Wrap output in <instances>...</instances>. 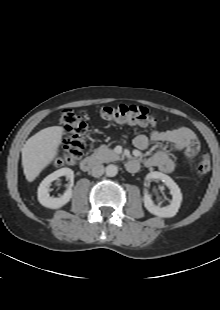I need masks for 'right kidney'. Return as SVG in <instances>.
<instances>
[{
  "instance_id": "right-kidney-1",
  "label": "right kidney",
  "mask_w": 220,
  "mask_h": 310,
  "mask_svg": "<svg viewBox=\"0 0 220 310\" xmlns=\"http://www.w3.org/2000/svg\"><path fill=\"white\" fill-rule=\"evenodd\" d=\"M61 176H66L69 180L68 188L65 193L59 197L54 198L49 195V187L51 182L57 180ZM74 181V172L70 168H61L48 175L38 187V201L44 207L50 209H58L67 204L72 198V186Z\"/></svg>"
}]
</instances>
